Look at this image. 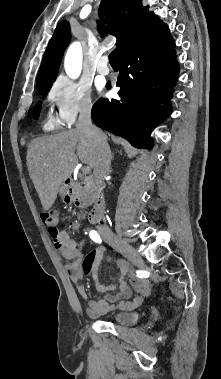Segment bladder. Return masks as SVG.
<instances>
[{
  "instance_id": "bladder-1",
  "label": "bladder",
  "mask_w": 221,
  "mask_h": 379,
  "mask_svg": "<svg viewBox=\"0 0 221 379\" xmlns=\"http://www.w3.org/2000/svg\"><path fill=\"white\" fill-rule=\"evenodd\" d=\"M105 320L122 326H130L137 322L138 314L133 311L118 312L106 316Z\"/></svg>"
}]
</instances>
